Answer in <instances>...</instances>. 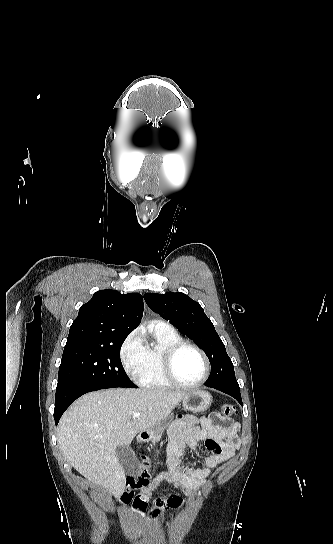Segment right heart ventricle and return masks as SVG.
<instances>
[{"label":"right heart ventricle","instance_id":"right-heart-ventricle-1","mask_svg":"<svg viewBox=\"0 0 333 544\" xmlns=\"http://www.w3.org/2000/svg\"><path fill=\"white\" fill-rule=\"evenodd\" d=\"M152 343H145L143 364L138 382L141 386L152 389H167L173 385L165 378L161 359L163 351L170 345L182 341L181 336L173 328L151 326Z\"/></svg>","mask_w":333,"mask_h":544}]
</instances>
